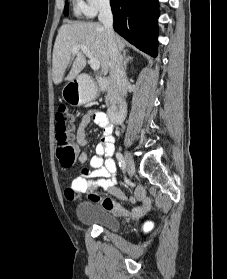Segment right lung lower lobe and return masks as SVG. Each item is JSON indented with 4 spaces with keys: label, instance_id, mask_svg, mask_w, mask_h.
Wrapping results in <instances>:
<instances>
[{
    "label": "right lung lower lobe",
    "instance_id": "98d812e1",
    "mask_svg": "<svg viewBox=\"0 0 227 279\" xmlns=\"http://www.w3.org/2000/svg\"><path fill=\"white\" fill-rule=\"evenodd\" d=\"M114 30L145 53L156 57L158 0H110Z\"/></svg>",
    "mask_w": 227,
    "mask_h": 279
}]
</instances>
